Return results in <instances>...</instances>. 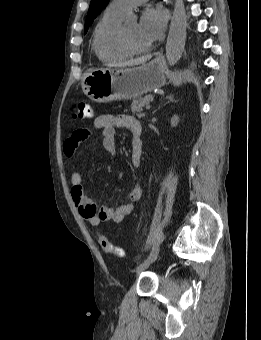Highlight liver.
Returning a JSON list of instances; mask_svg holds the SVG:
<instances>
[{
	"label": "liver",
	"instance_id": "obj_1",
	"mask_svg": "<svg viewBox=\"0 0 261 340\" xmlns=\"http://www.w3.org/2000/svg\"><path fill=\"white\" fill-rule=\"evenodd\" d=\"M149 59H150V57H141V58L134 59V60L128 61L126 63L120 64L119 66H121V67L136 66V65L144 64Z\"/></svg>",
	"mask_w": 261,
	"mask_h": 340
}]
</instances>
